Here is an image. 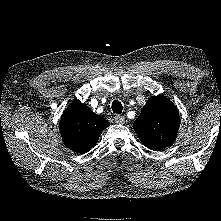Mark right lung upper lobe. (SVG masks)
I'll return each mask as SVG.
<instances>
[{"label": "right lung upper lobe", "instance_id": "obj_1", "mask_svg": "<svg viewBox=\"0 0 221 221\" xmlns=\"http://www.w3.org/2000/svg\"><path fill=\"white\" fill-rule=\"evenodd\" d=\"M109 122L96 115L80 101H74L64 111L60 120V133L64 144L77 153L94 147Z\"/></svg>", "mask_w": 221, "mask_h": 221}]
</instances>
